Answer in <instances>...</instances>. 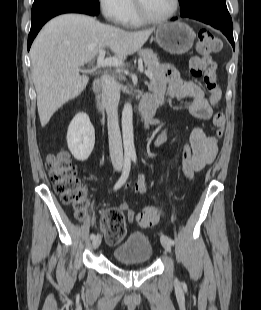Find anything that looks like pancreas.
Returning a JSON list of instances; mask_svg holds the SVG:
<instances>
[{
	"label": "pancreas",
	"mask_w": 261,
	"mask_h": 310,
	"mask_svg": "<svg viewBox=\"0 0 261 310\" xmlns=\"http://www.w3.org/2000/svg\"><path fill=\"white\" fill-rule=\"evenodd\" d=\"M140 56L142 57L145 66L150 69L153 74H154V79L151 82V84L149 85V88L151 90L155 89V84L157 83L158 80V73L156 72V70L159 67V61L157 58V55L153 53V51L151 50H142L140 53ZM119 80H125V77L119 73L118 75Z\"/></svg>",
	"instance_id": "pancreas-1"
}]
</instances>
